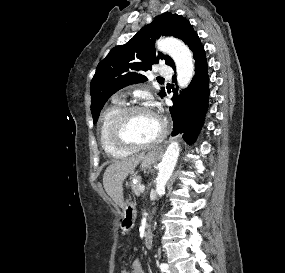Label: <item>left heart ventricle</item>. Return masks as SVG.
I'll return each mask as SVG.
<instances>
[{
    "instance_id": "left-heart-ventricle-1",
    "label": "left heart ventricle",
    "mask_w": 285,
    "mask_h": 273,
    "mask_svg": "<svg viewBox=\"0 0 285 273\" xmlns=\"http://www.w3.org/2000/svg\"><path fill=\"white\" fill-rule=\"evenodd\" d=\"M160 132V124L155 115L148 111L131 114L125 124L124 136L134 143H146L155 139Z\"/></svg>"
}]
</instances>
